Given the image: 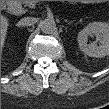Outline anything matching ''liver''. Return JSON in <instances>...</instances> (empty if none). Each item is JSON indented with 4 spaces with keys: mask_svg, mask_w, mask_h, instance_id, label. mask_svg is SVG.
<instances>
[{
    "mask_svg": "<svg viewBox=\"0 0 109 109\" xmlns=\"http://www.w3.org/2000/svg\"><path fill=\"white\" fill-rule=\"evenodd\" d=\"M8 28V20L5 17L1 19V42L4 44L6 33Z\"/></svg>",
    "mask_w": 109,
    "mask_h": 109,
    "instance_id": "6515ba94",
    "label": "liver"
}]
</instances>
